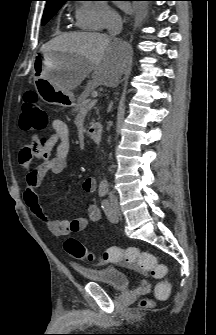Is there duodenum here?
I'll return each mask as SVG.
<instances>
[{
  "label": "duodenum",
  "mask_w": 216,
  "mask_h": 335,
  "mask_svg": "<svg viewBox=\"0 0 216 335\" xmlns=\"http://www.w3.org/2000/svg\"><path fill=\"white\" fill-rule=\"evenodd\" d=\"M88 136L95 142L99 143L102 137V125L99 123L93 124L88 129Z\"/></svg>",
  "instance_id": "duodenum-1"
}]
</instances>
